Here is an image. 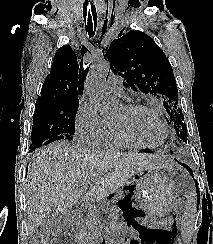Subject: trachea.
I'll use <instances>...</instances> for the list:
<instances>
[{"label": "trachea", "instance_id": "obj_1", "mask_svg": "<svg viewBox=\"0 0 213 244\" xmlns=\"http://www.w3.org/2000/svg\"><path fill=\"white\" fill-rule=\"evenodd\" d=\"M83 14H84L85 22L87 19L86 32H88L89 37H93L97 26L96 9L95 7H91V9H87V7H85L83 9Z\"/></svg>", "mask_w": 213, "mask_h": 244}]
</instances>
